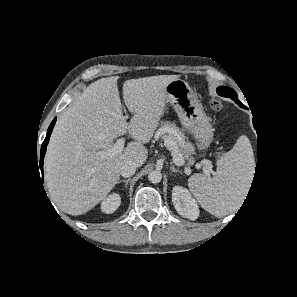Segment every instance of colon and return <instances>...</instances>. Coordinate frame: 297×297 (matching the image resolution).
I'll use <instances>...</instances> for the list:
<instances>
[{
    "mask_svg": "<svg viewBox=\"0 0 297 297\" xmlns=\"http://www.w3.org/2000/svg\"><path fill=\"white\" fill-rule=\"evenodd\" d=\"M210 106H211V108H212L213 110H215V111H220V110H222V108H223V105H222V103L220 102V100H218V99H216V98L211 99V101H210Z\"/></svg>",
    "mask_w": 297,
    "mask_h": 297,
    "instance_id": "1",
    "label": "colon"
}]
</instances>
